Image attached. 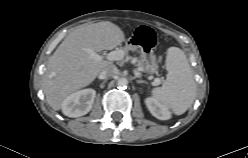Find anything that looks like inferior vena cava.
<instances>
[{
  "label": "inferior vena cava",
  "instance_id": "1",
  "mask_svg": "<svg viewBox=\"0 0 248 158\" xmlns=\"http://www.w3.org/2000/svg\"><path fill=\"white\" fill-rule=\"evenodd\" d=\"M117 71V68L115 65H108L107 67H105L99 74V78L100 79H109L111 78L113 75H115Z\"/></svg>",
  "mask_w": 248,
  "mask_h": 158
}]
</instances>
